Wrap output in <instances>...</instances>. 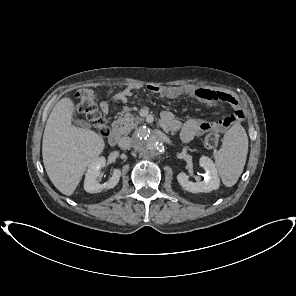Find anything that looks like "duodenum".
I'll list each match as a JSON object with an SVG mask.
<instances>
[{"mask_svg":"<svg viewBox=\"0 0 296 296\" xmlns=\"http://www.w3.org/2000/svg\"><path fill=\"white\" fill-rule=\"evenodd\" d=\"M121 138V133L117 127H114L111 129L109 134V143L112 146H115L118 144L119 140Z\"/></svg>","mask_w":296,"mask_h":296,"instance_id":"duodenum-1","label":"duodenum"}]
</instances>
